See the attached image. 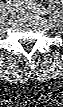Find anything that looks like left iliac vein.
Returning a JSON list of instances; mask_svg holds the SVG:
<instances>
[{
  "label": "left iliac vein",
  "instance_id": "4c4485c4",
  "mask_svg": "<svg viewBox=\"0 0 63 107\" xmlns=\"http://www.w3.org/2000/svg\"><path fill=\"white\" fill-rule=\"evenodd\" d=\"M17 11L20 13H25L26 9L24 7H18Z\"/></svg>",
  "mask_w": 63,
  "mask_h": 107
}]
</instances>
